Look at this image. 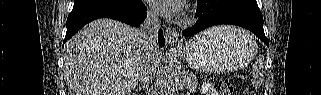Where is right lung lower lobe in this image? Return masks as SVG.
Instances as JSON below:
<instances>
[{
  "label": "right lung lower lobe",
  "instance_id": "1",
  "mask_svg": "<svg viewBox=\"0 0 321 95\" xmlns=\"http://www.w3.org/2000/svg\"><path fill=\"white\" fill-rule=\"evenodd\" d=\"M146 8L142 1L138 0L130 7L101 6L72 10L67 19V32L64 43L75 35L87 23L98 18H111L122 21L131 26L139 27L146 18ZM160 29L158 34L159 45L164 46L165 40Z\"/></svg>",
  "mask_w": 321,
  "mask_h": 95
}]
</instances>
